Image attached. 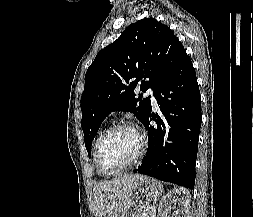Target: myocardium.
Returning <instances> with one entry per match:
<instances>
[{
	"mask_svg": "<svg viewBox=\"0 0 253 217\" xmlns=\"http://www.w3.org/2000/svg\"><path fill=\"white\" fill-rule=\"evenodd\" d=\"M118 129H129V130L134 131L138 137L139 148H138L136 155L132 158V160L130 162H128L127 164L123 165L122 167H120L116 170L106 171L102 167L101 161H100L101 149H102V146H103L105 140L108 138V136ZM146 148H147L146 135H145L144 131L139 126L129 123V122L116 123L113 126H111L109 129H107L98 140L96 150H95V156H94L96 169L103 176H112V175L119 174V173L129 169L130 167H132L136 163H138L141 160V158L143 157V155L146 151Z\"/></svg>",
	"mask_w": 253,
	"mask_h": 217,
	"instance_id": "obj_1",
	"label": "myocardium"
}]
</instances>
